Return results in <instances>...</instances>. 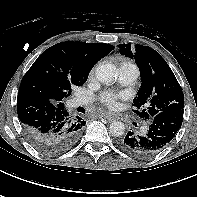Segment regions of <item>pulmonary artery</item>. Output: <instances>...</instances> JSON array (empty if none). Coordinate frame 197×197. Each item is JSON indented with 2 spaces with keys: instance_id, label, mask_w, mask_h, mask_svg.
I'll list each match as a JSON object with an SVG mask.
<instances>
[{
  "instance_id": "obj_1",
  "label": "pulmonary artery",
  "mask_w": 197,
  "mask_h": 197,
  "mask_svg": "<svg viewBox=\"0 0 197 197\" xmlns=\"http://www.w3.org/2000/svg\"><path fill=\"white\" fill-rule=\"evenodd\" d=\"M139 76L138 68L133 64H123L119 67V80L123 85L132 84ZM90 102V99L85 96L75 97L73 100L74 106L86 105ZM148 130L147 126H143L141 129L142 133H146Z\"/></svg>"
}]
</instances>
